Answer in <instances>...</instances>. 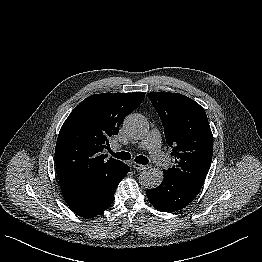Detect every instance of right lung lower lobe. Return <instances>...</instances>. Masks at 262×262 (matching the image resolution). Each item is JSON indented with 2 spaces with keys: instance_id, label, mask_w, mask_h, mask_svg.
Wrapping results in <instances>:
<instances>
[{
  "instance_id": "1",
  "label": "right lung lower lobe",
  "mask_w": 262,
  "mask_h": 262,
  "mask_svg": "<svg viewBox=\"0 0 262 262\" xmlns=\"http://www.w3.org/2000/svg\"><path fill=\"white\" fill-rule=\"evenodd\" d=\"M129 170L124 164L115 175L99 176L76 185H61L63 197L77 215L93 218L110 207L118 183Z\"/></svg>"
}]
</instances>
